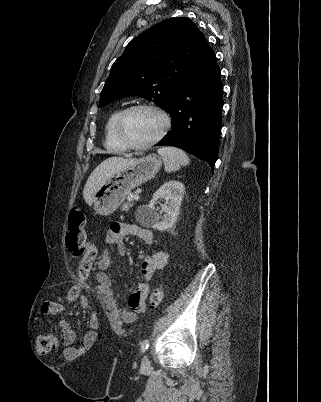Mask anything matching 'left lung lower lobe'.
Segmentation results:
<instances>
[{
  "mask_svg": "<svg viewBox=\"0 0 321 402\" xmlns=\"http://www.w3.org/2000/svg\"><path fill=\"white\" fill-rule=\"evenodd\" d=\"M222 107L220 68L214 51L207 45L170 96L165 109L171 116V131L157 146L179 147L205 160L214 169Z\"/></svg>",
  "mask_w": 321,
  "mask_h": 402,
  "instance_id": "obj_1",
  "label": "left lung lower lobe"
}]
</instances>
